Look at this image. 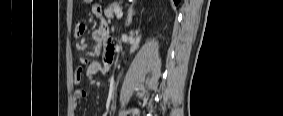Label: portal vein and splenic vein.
<instances>
[{
  "mask_svg": "<svg viewBox=\"0 0 283 116\" xmlns=\"http://www.w3.org/2000/svg\"><path fill=\"white\" fill-rule=\"evenodd\" d=\"M122 16H123V12H122V10H118V11H117V13H116V17H117V19H121V18H122Z\"/></svg>",
  "mask_w": 283,
  "mask_h": 116,
  "instance_id": "18ae733b",
  "label": "portal vein and splenic vein"
}]
</instances>
